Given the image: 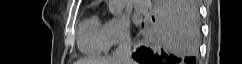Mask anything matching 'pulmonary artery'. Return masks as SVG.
I'll return each mask as SVG.
<instances>
[{
    "mask_svg": "<svg viewBox=\"0 0 242 64\" xmlns=\"http://www.w3.org/2000/svg\"><path fill=\"white\" fill-rule=\"evenodd\" d=\"M134 7L139 11H147L149 8L148 1L147 0H135Z\"/></svg>",
    "mask_w": 242,
    "mask_h": 64,
    "instance_id": "obj_1",
    "label": "pulmonary artery"
}]
</instances>
